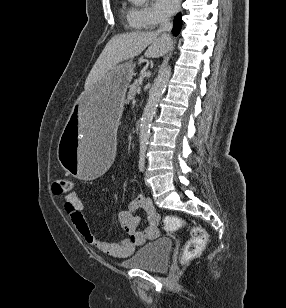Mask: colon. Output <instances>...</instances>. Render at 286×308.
<instances>
[{"mask_svg": "<svg viewBox=\"0 0 286 308\" xmlns=\"http://www.w3.org/2000/svg\"><path fill=\"white\" fill-rule=\"evenodd\" d=\"M74 184L68 177L61 176L57 177L52 182V191L55 195H65L73 192ZM183 222L181 219L169 216L165 221V227L167 229H178L182 227ZM208 239L207 234L200 228H195L192 231L191 240L184 247L182 253V260L188 261L199 254L201 249L204 247Z\"/></svg>", "mask_w": 286, "mask_h": 308, "instance_id": "5ec220e1", "label": "colon"}]
</instances>
